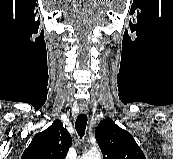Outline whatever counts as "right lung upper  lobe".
<instances>
[{"instance_id": "cb5924a9", "label": "right lung upper lobe", "mask_w": 173, "mask_h": 159, "mask_svg": "<svg viewBox=\"0 0 173 159\" xmlns=\"http://www.w3.org/2000/svg\"><path fill=\"white\" fill-rule=\"evenodd\" d=\"M71 143L69 132L60 120H55L49 128L33 137L21 159H64Z\"/></svg>"}]
</instances>
